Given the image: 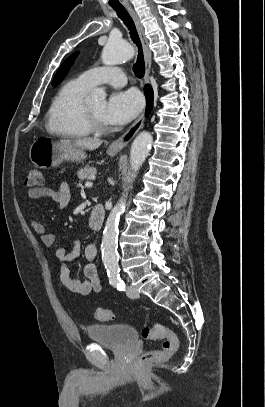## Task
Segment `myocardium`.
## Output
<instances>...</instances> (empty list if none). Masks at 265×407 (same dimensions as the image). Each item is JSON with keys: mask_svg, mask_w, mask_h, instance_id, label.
Here are the masks:
<instances>
[{"mask_svg": "<svg viewBox=\"0 0 265 407\" xmlns=\"http://www.w3.org/2000/svg\"><path fill=\"white\" fill-rule=\"evenodd\" d=\"M82 118L86 128L94 134H106L110 131L108 126H104L89 109L88 105L82 107Z\"/></svg>", "mask_w": 265, "mask_h": 407, "instance_id": "f54148a6", "label": "myocardium"}]
</instances>
